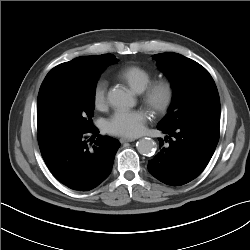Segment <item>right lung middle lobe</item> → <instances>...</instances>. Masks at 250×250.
<instances>
[{
  "instance_id": "dd1d6c3e",
  "label": "right lung middle lobe",
  "mask_w": 250,
  "mask_h": 250,
  "mask_svg": "<svg viewBox=\"0 0 250 250\" xmlns=\"http://www.w3.org/2000/svg\"><path fill=\"white\" fill-rule=\"evenodd\" d=\"M116 61L113 56L108 64ZM104 68L82 79L63 83L48 98L37 104L38 140L86 133L94 128L91 117L94 111L95 88Z\"/></svg>"
}]
</instances>
